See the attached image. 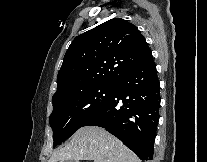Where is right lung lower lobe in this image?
<instances>
[{"label":"right lung lower lobe","mask_w":207,"mask_h":162,"mask_svg":"<svg viewBox=\"0 0 207 162\" xmlns=\"http://www.w3.org/2000/svg\"><path fill=\"white\" fill-rule=\"evenodd\" d=\"M113 85L110 99L83 126L105 128L141 160H152L161 99L153 58L124 72Z\"/></svg>","instance_id":"1"}]
</instances>
